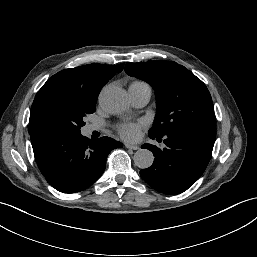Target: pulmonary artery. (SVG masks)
I'll use <instances>...</instances> for the list:
<instances>
[{
    "mask_svg": "<svg viewBox=\"0 0 257 257\" xmlns=\"http://www.w3.org/2000/svg\"><path fill=\"white\" fill-rule=\"evenodd\" d=\"M128 92L131 102L135 107L145 106L151 97V89L148 85L130 86ZM93 129H96V127L90 126L89 130Z\"/></svg>",
    "mask_w": 257,
    "mask_h": 257,
    "instance_id": "e3ab8cb5",
    "label": "pulmonary artery"
}]
</instances>
